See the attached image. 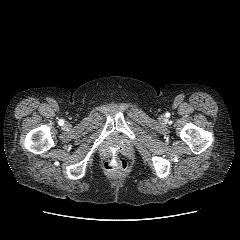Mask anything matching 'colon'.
<instances>
[{
    "instance_id": "5ec220e1",
    "label": "colon",
    "mask_w": 240,
    "mask_h": 240,
    "mask_svg": "<svg viewBox=\"0 0 240 240\" xmlns=\"http://www.w3.org/2000/svg\"><path fill=\"white\" fill-rule=\"evenodd\" d=\"M127 166V160L123 156L115 154L105 162L104 169L109 173H115L126 170Z\"/></svg>"
}]
</instances>
